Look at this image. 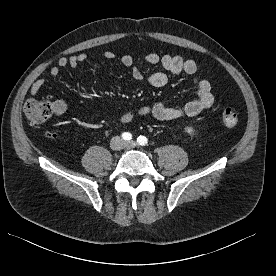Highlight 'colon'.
<instances>
[{"label":"colon","mask_w":276,"mask_h":276,"mask_svg":"<svg viewBox=\"0 0 276 276\" xmlns=\"http://www.w3.org/2000/svg\"><path fill=\"white\" fill-rule=\"evenodd\" d=\"M53 105L46 98L28 99L24 104V115L31 125L38 126L46 122L53 114ZM222 123L229 128L237 126L239 114L232 107H225L221 112Z\"/></svg>","instance_id":"1"}]
</instances>
